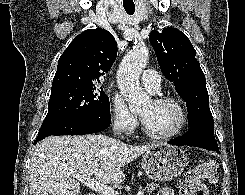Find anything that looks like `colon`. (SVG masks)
Segmentation results:
<instances>
[{"instance_id": "5ec220e1", "label": "colon", "mask_w": 245, "mask_h": 195, "mask_svg": "<svg viewBox=\"0 0 245 195\" xmlns=\"http://www.w3.org/2000/svg\"><path fill=\"white\" fill-rule=\"evenodd\" d=\"M217 178V164L213 160H208L187 173L180 193L181 195H207L205 183H215Z\"/></svg>"}]
</instances>
